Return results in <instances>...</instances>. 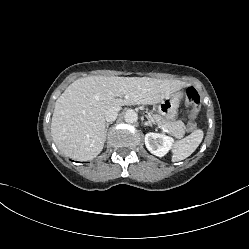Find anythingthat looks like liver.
Here are the masks:
<instances>
[{
  "label": "liver",
  "instance_id": "6515ba94",
  "mask_svg": "<svg viewBox=\"0 0 249 249\" xmlns=\"http://www.w3.org/2000/svg\"><path fill=\"white\" fill-rule=\"evenodd\" d=\"M187 84L149 77L89 76L70 84L56 100L51 135L66 156L88 161L103 149L105 113L115 106L154 105Z\"/></svg>",
  "mask_w": 249,
  "mask_h": 249
}]
</instances>
